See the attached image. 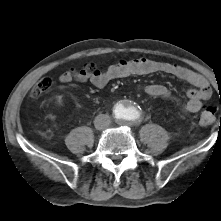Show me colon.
Here are the masks:
<instances>
[{
    "instance_id": "1",
    "label": "colon",
    "mask_w": 221,
    "mask_h": 221,
    "mask_svg": "<svg viewBox=\"0 0 221 221\" xmlns=\"http://www.w3.org/2000/svg\"><path fill=\"white\" fill-rule=\"evenodd\" d=\"M86 70L93 71L94 66L89 64L86 66ZM53 85V80L50 77L41 78L38 83L32 88L31 96L39 97L42 94L48 92ZM216 121V111L214 108L206 106L203 107L198 116V122L202 126H210Z\"/></svg>"
}]
</instances>
